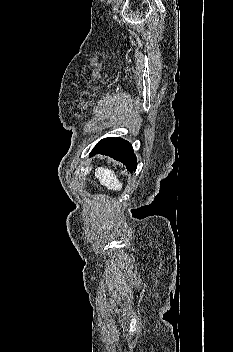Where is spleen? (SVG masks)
<instances>
[{
  "instance_id": "3e777b00",
  "label": "spleen",
  "mask_w": 233,
  "mask_h": 352,
  "mask_svg": "<svg viewBox=\"0 0 233 352\" xmlns=\"http://www.w3.org/2000/svg\"><path fill=\"white\" fill-rule=\"evenodd\" d=\"M95 177L99 179L100 184L107 187L109 190L121 191L122 182L118 179L115 173L104 167H98L95 170Z\"/></svg>"
}]
</instances>
